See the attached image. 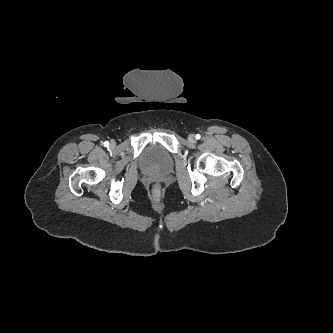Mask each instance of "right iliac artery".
<instances>
[{
	"instance_id": "obj_1",
	"label": "right iliac artery",
	"mask_w": 333,
	"mask_h": 333,
	"mask_svg": "<svg viewBox=\"0 0 333 333\" xmlns=\"http://www.w3.org/2000/svg\"><path fill=\"white\" fill-rule=\"evenodd\" d=\"M104 146H105V147H108V146H109V142H108V141H105V142H104Z\"/></svg>"
}]
</instances>
